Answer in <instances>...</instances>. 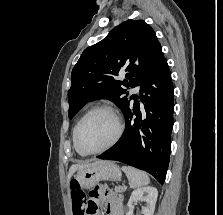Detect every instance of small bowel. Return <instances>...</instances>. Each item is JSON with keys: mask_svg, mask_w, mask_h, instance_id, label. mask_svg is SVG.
<instances>
[{"mask_svg": "<svg viewBox=\"0 0 223 215\" xmlns=\"http://www.w3.org/2000/svg\"><path fill=\"white\" fill-rule=\"evenodd\" d=\"M99 204L104 205L107 215L124 214L122 197L112 193L103 185H98L91 190L88 201L89 210L86 215H99Z\"/></svg>", "mask_w": 223, "mask_h": 215, "instance_id": "small-bowel-1", "label": "small bowel"}]
</instances>
